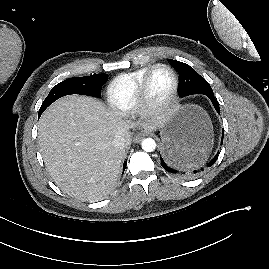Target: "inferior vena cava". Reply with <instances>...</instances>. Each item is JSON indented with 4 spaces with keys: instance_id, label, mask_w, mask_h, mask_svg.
<instances>
[{
    "instance_id": "obj_1",
    "label": "inferior vena cava",
    "mask_w": 269,
    "mask_h": 269,
    "mask_svg": "<svg viewBox=\"0 0 269 269\" xmlns=\"http://www.w3.org/2000/svg\"><path fill=\"white\" fill-rule=\"evenodd\" d=\"M125 143H126L125 137L121 134L116 135V137L112 141L113 146L117 148L124 147Z\"/></svg>"
}]
</instances>
